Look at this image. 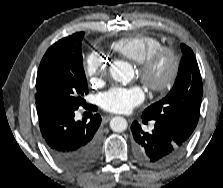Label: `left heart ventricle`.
Returning a JSON list of instances; mask_svg holds the SVG:
<instances>
[{
  "mask_svg": "<svg viewBox=\"0 0 223 188\" xmlns=\"http://www.w3.org/2000/svg\"><path fill=\"white\" fill-rule=\"evenodd\" d=\"M170 70V62L167 57L163 58L155 69V76L157 78H164L167 76Z\"/></svg>",
  "mask_w": 223,
  "mask_h": 188,
  "instance_id": "b2bd125f",
  "label": "left heart ventricle"
}]
</instances>
